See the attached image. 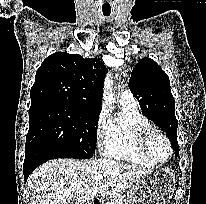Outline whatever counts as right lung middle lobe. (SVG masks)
Here are the masks:
<instances>
[{
  "label": "right lung middle lobe",
  "mask_w": 206,
  "mask_h": 204,
  "mask_svg": "<svg viewBox=\"0 0 206 204\" xmlns=\"http://www.w3.org/2000/svg\"><path fill=\"white\" fill-rule=\"evenodd\" d=\"M100 111L56 101L31 103L25 153L46 148L61 154L62 158H91L95 151V126Z\"/></svg>",
  "instance_id": "1"
}]
</instances>
